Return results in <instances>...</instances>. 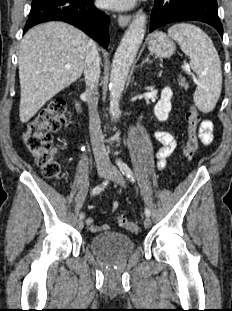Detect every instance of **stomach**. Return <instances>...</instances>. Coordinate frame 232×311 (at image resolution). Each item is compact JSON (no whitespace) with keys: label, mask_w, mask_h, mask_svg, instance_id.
I'll return each instance as SVG.
<instances>
[{"label":"stomach","mask_w":232,"mask_h":311,"mask_svg":"<svg viewBox=\"0 0 232 311\" xmlns=\"http://www.w3.org/2000/svg\"><path fill=\"white\" fill-rule=\"evenodd\" d=\"M148 49L158 57L168 58L174 54L176 47L165 33L156 31L149 38Z\"/></svg>","instance_id":"stomach-1"}]
</instances>
